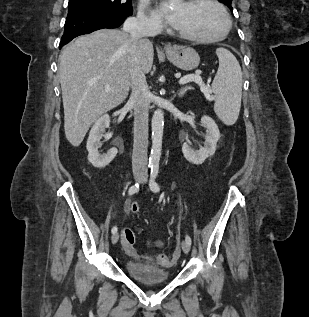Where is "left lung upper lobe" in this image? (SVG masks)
<instances>
[{
	"mask_svg": "<svg viewBox=\"0 0 309 317\" xmlns=\"http://www.w3.org/2000/svg\"><path fill=\"white\" fill-rule=\"evenodd\" d=\"M219 1L224 3L225 5H227L230 8V10L232 11V6H231L232 0H219Z\"/></svg>",
	"mask_w": 309,
	"mask_h": 317,
	"instance_id": "5c2ea615",
	"label": "left lung upper lobe"
}]
</instances>
